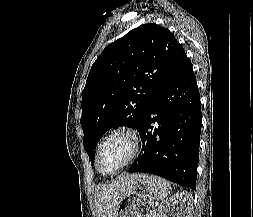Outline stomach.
Masks as SVG:
<instances>
[{"label":"stomach","mask_w":253,"mask_h":217,"mask_svg":"<svg viewBox=\"0 0 253 217\" xmlns=\"http://www.w3.org/2000/svg\"><path fill=\"white\" fill-rule=\"evenodd\" d=\"M157 198L158 185L151 176L142 174L133 189L120 201L115 217H147Z\"/></svg>","instance_id":"0dacf381"}]
</instances>
